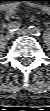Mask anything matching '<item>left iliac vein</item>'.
Wrapping results in <instances>:
<instances>
[{
  "label": "left iliac vein",
  "instance_id": "obj_1",
  "mask_svg": "<svg viewBox=\"0 0 50 111\" xmlns=\"http://www.w3.org/2000/svg\"><path fill=\"white\" fill-rule=\"evenodd\" d=\"M17 34H19V35H30L31 32L28 29L22 28V29H19L17 31Z\"/></svg>",
  "mask_w": 50,
  "mask_h": 111
}]
</instances>
